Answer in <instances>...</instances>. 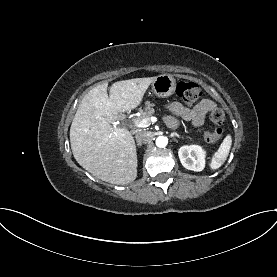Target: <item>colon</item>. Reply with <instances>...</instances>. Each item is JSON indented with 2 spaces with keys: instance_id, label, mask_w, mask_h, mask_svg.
Returning <instances> with one entry per match:
<instances>
[{
  "instance_id": "5ec220e1",
  "label": "colon",
  "mask_w": 277,
  "mask_h": 277,
  "mask_svg": "<svg viewBox=\"0 0 277 277\" xmlns=\"http://www.w3.org/2000/svg\"><path fill=\"white\" fill-rule=\"evenodd\" d=\"M176 93L185 104L193 105L201 97L202 89L198 84L193 82H180L177 85ZM209 118L210 121L214 124L215 128H206L202 132V139L206 143H213L222 135L221 126L225 121V113L222 109L216 108L210 113Z\"/></svg>"
}]
</instances>
